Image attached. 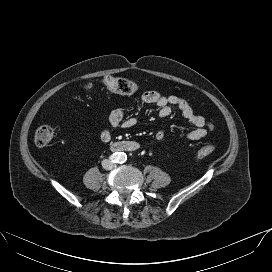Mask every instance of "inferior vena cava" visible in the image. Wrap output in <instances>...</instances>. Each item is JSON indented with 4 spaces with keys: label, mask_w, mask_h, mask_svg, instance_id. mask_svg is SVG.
Masks as SVG:
<instances>
[{
    "label": "inferior vena cava",
    "mask_w": 272,
    "mask_h": 272,
    "mask_svg": "<svg viewBox=\"0 0 272 272\" xmlns=\"http://www.w3.org/2000/svg\"><path fill=\"white\" fill-rule=\"evenodd\" d=\"M102 166L106 170H112L115 167V164L109 159H104L102 161Z\"/></svg>",
    "instance_id": "602c4592"
}]
</instances>
